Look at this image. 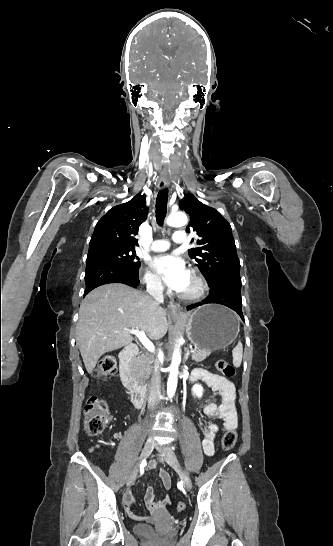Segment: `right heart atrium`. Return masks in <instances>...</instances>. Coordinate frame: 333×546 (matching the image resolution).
<instances>
[{"label":"right heart atrium","instance_id":"right-heart-atrium-1","mask_svg":"<svg viewBox=\"0 0 333 546\" xmlns=\"http://www.w3.org/2000/svg\"><path fill=\"white\" fill-rule=\"evenodd\" d=\"M143 282L149 290L159 291L162 289V283L159 278L151 272L149 269H146L143 274Z\"/></svg>","mask_w":333,"mask_h":546}]
</instances>
